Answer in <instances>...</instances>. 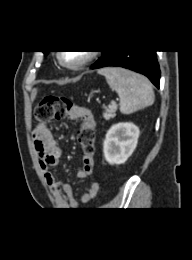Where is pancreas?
<instances>
[{
  "instance_id": "pancreas-1",
  "label": "pancreas",
  "mask_w": 192,
  "mask_h": 260,
  "mask_svg": "<svg viewBox=\"0 0 192 260\" xmlns=\"http://www.w3.org/2000/svg\"><path fill=\"white\" fill-rule=\"evenodd\" d=\"M105 111L103 112V117L106 119V120H110L112 118L115 117V112L117 110V105L115 104H112V105H109L108 107H104Z\"/></svg>"
}]
</instances>
